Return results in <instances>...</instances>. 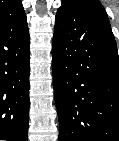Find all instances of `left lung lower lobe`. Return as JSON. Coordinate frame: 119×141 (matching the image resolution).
<instances>
[{"label":"left lung lower lobe","mask_w":119,"mask_h":141,"mask_svg":"<svg viewBox=\"0 0 119 141\" xmlns=\"http://www.w3.org/2000/svg\"><path fill=\"white\" fill-rule=\"evenodd\" d=\"M52 58L59 141H119V56L108 17L58 9Z\"/></svg>","instance_id":"0a47b994"}]
</instances>
